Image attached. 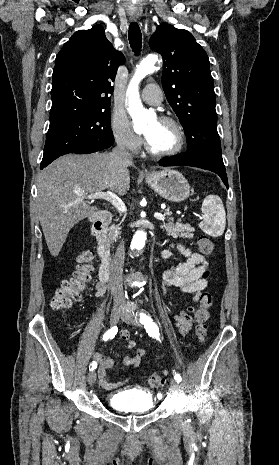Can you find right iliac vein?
Listing matches in <instances>:
<instances>
[{
	"label": "right iliac vein",
	"instance_id": "1",
	"mask_svg": "<svg viewBox=\"0 0 279 465\" xmlns=\"http://www.w3.org/2000/svg\"><path fill=\"white\" fill-rule=\"evenodd\" d=\"M122 315V310L120 308H114L110 315V324L112 326L116 325ZM88 384L93 385L96 381V371L91 370L87 377Z\"/></svg>",
	"mask_w": 279,
	"mask_h": 465
}]
</instances>
